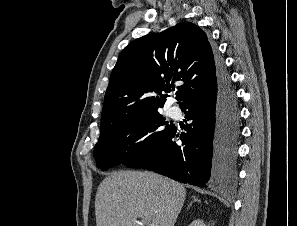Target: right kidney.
<instances>
[{"mask_svg": "<svg viewBox=\"0 0 297 226\" xmlns=\"http://www.w3.org/2000/svg\"><path fill=\"white\" fill-rule=\"evenodd\" d=\"M189 226H206L200 219L194 220Z\"/></svg>", "mask_w": 297, "mask_h": 226, "instance_id": "obj_1", "label": "right kidney"}]
</instances>
